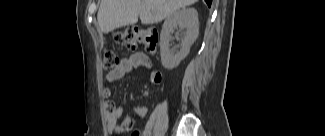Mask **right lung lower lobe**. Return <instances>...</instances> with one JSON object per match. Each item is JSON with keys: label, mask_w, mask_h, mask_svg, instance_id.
<instances>
[{"label": "right lung lower lobe", "mask_w": 325, "mask_h": 136, "mask_svg": "<svg viewBox=\"0 0 325 136\" xmlns=\"http://www.w3.org/2000/svg\"><path fill=\"white\" fill-rule=\"evenodd\" d=\"M205 2L208 4V6H211L212 0H205Z\"/></svg>", "instance_id": "1"}]
</instances>
